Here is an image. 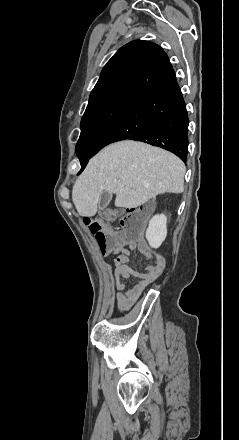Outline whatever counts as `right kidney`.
Here are the masks:
<instances>
[{"label": "right kidney", "instance_id": "1", "mask_svg": "<svg viewBox=\"0 0 239 440\" xmlns=\"http://www.w3.org/2000/svg\"><path fill=\"white\" fill-rule=\"evenodd\" d=\"M167 218L164 214H157L149 220L146 230V240H149L150 246L159 247L167 236Z\"/></svg>", "mask_w": 239, "mask_h": 440}]
</instances>
